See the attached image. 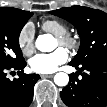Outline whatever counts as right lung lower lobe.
<instances>
[{
	"label": "right lung lower lobe",
	"instance_id": "98d812e1",
	"mask_svg": "<svg viewBox=\"0 0 107 107\" xmlns=\"http://www.w3.org/2000/svg\"><path fill=\"white\" fill-rule=\"evenodd\" d=\"M25 61L13 66L0 64V107H28L33 100V89L37 74H25L23 68ZM7 70H17L19 78L10 81L6 75Z\"/></svg>",
	"mask_w": 107,
	"mask_h": 107
}]
</instances>
